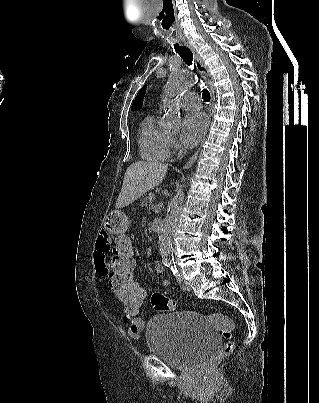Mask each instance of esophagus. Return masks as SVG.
<instances>
[{
  "label": "esophagus",
  "mask_w": 319,
  "mask_h": 403,
  "mask_svg": "<svg viewBox=\"0 0 319 403\" xmlns=\"http://www.w3.org/2000/svg\"><path fill=\"white\" fill-rule=\"evenodd\" d=\"M184 45L188 47L191 52L193 53L194 56V61H195V67L197 71L202 75V77L205 79L208 88L210 90V116H211V111L214 106L215 102V90H214V85H213V78L210 74V71L208 67L204 64L203 59L201 56L198 54V52L195 50V48L188 42H184ZM200 149L189 159V161L186 163V165L183 167L184 169L190 168L195 160L197 159V156L199 154Z\"/></svg>",
  "instance_id": "esophagus-1"
}]
</instances>
